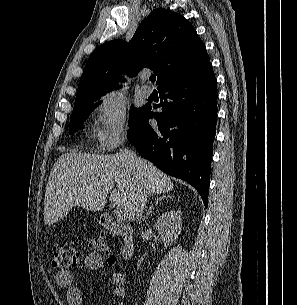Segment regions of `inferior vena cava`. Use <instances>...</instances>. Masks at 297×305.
I'll return each instance as SVG.
<instances>
[{"label":"inferior vena cava","instance_id":"inferior-vena-cava-1","mask_svg":"<svg viewBox=\"0 0 297 305\" xmlns=\"http://www.w3.org/2000/svg\"><path fill=\"white\" fill-rule=\"evenodd\" d=\"M125 157L127 159V164L137 173L140 174L141 172V162L136 154L129 150L125 149L124 151ZM136 202L134 206V212L137 221L139 223L143 219V213L147 202V191L143 183L138 184L137 192H136Z\"/></svg>","mask_w":297,"mask_h":305}]
</instances>
